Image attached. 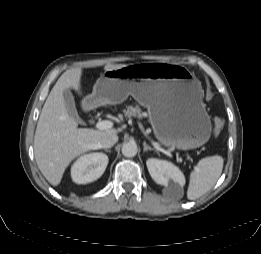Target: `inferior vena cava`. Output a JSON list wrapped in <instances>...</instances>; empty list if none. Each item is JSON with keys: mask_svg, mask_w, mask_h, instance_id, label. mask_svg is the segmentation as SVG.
<instances>
[{"mask_svg": "<svg viewBox=\"0 0 261 254\" xmlns=\"http://www.w3.org/2000/svg\"><path fill=\"white\" fill-rule=\"evenodd\" d=\"M118 141V136L117 134H108L103 136L100 141L98 142V146L100 148H110L114 144H116Z\"/></svg>", "mask_w": 261, "mask_h": 254, "instance_id": "1", "label": "inferior vena cava"}]
</instances>
